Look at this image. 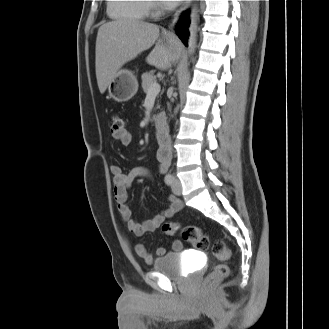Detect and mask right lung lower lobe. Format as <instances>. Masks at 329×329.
I'll list each match as a JSON object with an SVG mask.
<instances>
[{
    "label": "right lung lower lobe",
    "instance_id": "obj_1",
    "mask_svg": "<svg viewBox=\"0 0 329 329\" xmlns=\"http://www.w3.org/2000/svg\"><path fill=\"white\" fill-rule=\"evenodd\" d=\"M188 26H189L188 12H185L181 17L180 22L177 25V35L185 45H187V39L189 34Z\"/></svg>",
    "mask_w": 329,
    "mask_h": 329
}]
</instances>
